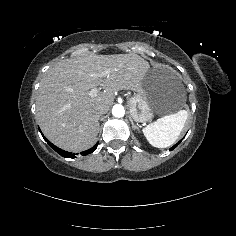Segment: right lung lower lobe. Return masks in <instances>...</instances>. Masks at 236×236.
<instances>
[{"label":"right lung lower lobe","mask_w":236,"mask_h":236,"mask_svg":"<svg viewBox=\"0 0 236 236\" xmlns=\"http://www.w3.org/2000/svg\"><path fill=\"white\" fill-rule=\"evenodd\" d=\"M40 132H41V131H40ZM41 134H42V133H41ZM42 136H43V138L46 140V142L50 145V147H52V148H53L58 154H60L61 156L66 157V158H74V157H75V155L72 154L71 152L64 151V150H62V149L56 147V146H55L54 144H52L51 142H49V141L44 137L43 134H42ZM97 145H98V143H97L96 145H94L91 149H89V150H87V151H84V152H81V154H82L83 156H85V155H87V154L92 153L93 151L96 150Z\"/></svg>","instance_id":"obj_1"}]
</instances>
